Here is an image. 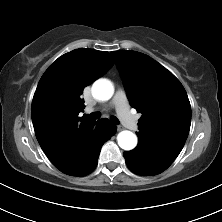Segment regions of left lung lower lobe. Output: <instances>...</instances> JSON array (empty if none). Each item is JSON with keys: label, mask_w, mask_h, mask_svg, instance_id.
<instances>
[{"label": "left lung lower lobe", "mask_w": 222, "mask_h": 222, "mask_svg": "<svg viewBox=\"0 0 222 222\" xmlns=\"http://www.w3.org/2000/svg\"><path fill=\"white\" fill-rule=\"evenodd\" d=\"M123 155L128 168L138 175H157L174 161L151 144L144 142H139L134 150L124 152Z\"/></svg>", "instance_id": "obj_1"}]
</instances>
